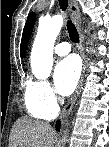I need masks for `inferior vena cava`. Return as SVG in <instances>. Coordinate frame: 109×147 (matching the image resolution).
<instances>
[{"label": "inferior vena cava", "instance_id": "obj_1", "mask_svg": "<svg viewBox=\"0 0 109 147\" xmlns=\"http://www.w3.org/2000/svg\"><path fill=\"white\" fill-rule=\"evenodd\" d=\"M58 99L60 100L61 104H63L64 99L63 98H58Z\"/></svg>", "mask_w": 109, "mask_h": 147}]
</instances>
